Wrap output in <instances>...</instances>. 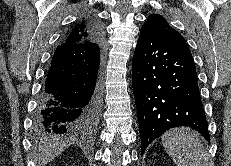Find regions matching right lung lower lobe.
I'll return each mask as SVG.
<instances>
[{
    "mask_svg": "<svg viewBox=\"0 0 231 166\" xmlns=\"http://www.w3.org/2000/svg\"><path fill=\"white\" fill-rule=\"evenodd\" d=\"M90 43H61L55 50L38 99L36 128L45 133L82 135L91 132L102 104L103 32Z\"/></svg>",
    "mask_w": 231,
    "mask_h": 166,
    "instance_id": "1",
    "label": "right lung lower lobe"
}]
</instances>
